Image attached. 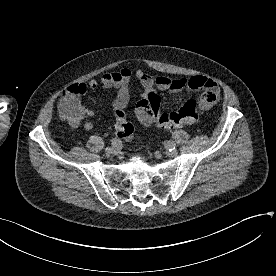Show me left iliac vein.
<instances>
[{
  "mask_svg": "<svg viewBox=\"0 0 276 276\" xmlns=\"http://www.w3.org/2000/svg\"><path fill=\"white\" fill-rule=\"evenodd\" d=\"M167 154L169 157H175V156H177L178 151H177V149H169V150H167Z\"/></svg>",
  "mask_w": 276,
  "mask_h": 276,
  "instance_id": "4c4485c4",
  "label": "left iliac vein"
}]
</instances>
